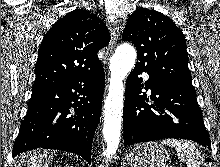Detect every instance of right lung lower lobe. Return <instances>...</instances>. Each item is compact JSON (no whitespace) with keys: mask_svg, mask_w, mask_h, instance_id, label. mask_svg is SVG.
I'll return each instance as SVG.
<instances>
[{"mask_svg":"<svg viewBox=\"0 0 220 167\" xmlns=\"http://www.w3.org/2000/svg\"><path fill=\"white\" fill-rule=\"evenodd\" d=\"M104 86L101 66L67 83L32 91L13 157L41 147L75 153L90 164Z\"/></svg>","mask_w":220,"mask_h":167,"instance_id":"right-lung-lower-lobe-1","label":"right lung lower lobe"}]
</instances>
